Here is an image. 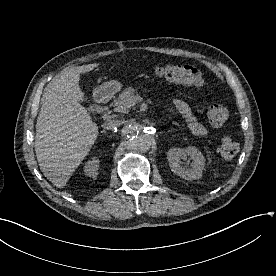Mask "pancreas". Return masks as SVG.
Returning a JSON list of instances; mask_svg holds the SVG:
<instances>
[{"label": "pancreas", "mask_w": 276, "mask_h": 276, "mask_svg": "<svg viewBox=\"0 0 276 276\" xmlns=\"http://www.w3.org/2000/svg\"><path fill=\"white\" fill-rule=\"evenodd\" d=\"M136 90L134 88H126L122 93L119 94L117 100H115V104L119 102L127 101L131 98L135 97Z\"/></svg>", "instance_id": "obj_1"}]
</instances>
